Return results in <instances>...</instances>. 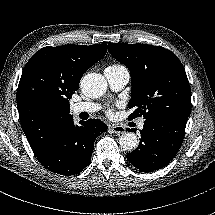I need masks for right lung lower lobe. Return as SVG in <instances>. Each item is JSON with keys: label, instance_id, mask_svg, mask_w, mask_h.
Instances as JSON below:
<instances>
[{"label": "right lung lower lobe", "instance_id": "98d812e1", "mask_svg": "<svg viewBox=\"0 0 215 215\" xmlns=\"http://www.w3.org/2000/svg\"><path fill=\"white\" fill-rule=\"evenodd\" d=\"M107 130L97 119L74 125L73 118L64 122L34 153L48 170L65 176L80 173L90 164L95 139Z\"/></svg>", "mask_w": 215, "mask_h": 215}]
</instances>
